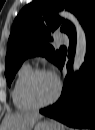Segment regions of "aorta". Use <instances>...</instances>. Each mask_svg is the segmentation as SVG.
Returning a JSON list of instances; mask_svg holds the SVG:
<instances>
[{
  "instance_id": "1",
  "label": "aorta",
  "mask_w": 95,
  "mask_h": 130,
  "mask_svg": "<svg viewBox=\"0 0 95 130\" xmlns=\"http://www.w3.org/2000/svg\"><path fill=\"white\" fill-rule=\"evenodd\" d=\"M59 16L70 20L76 29V49L73 61V72H76L80 69L85 61V56L87 52L86 34L80 22L73 14L67 11H62L59 12Z\"/></svg>"
}]
</instances>
